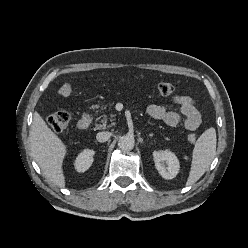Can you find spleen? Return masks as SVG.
<instances>
[{"label":"spleen","mask_w":248,"mask_h":248,"mask_svg":"<svg viewBox=\"0 0 248 248\" xmlns=\"http://www.w3.org/2000/svg\"><path fill=\"white\" fill-rule=\"evenodd\" d=\"M216 141L214 128L207 129L196 141L187 186L197 182L209 168L216 154Z\"/></svg>","instance_id":"1"}]
</instances>
